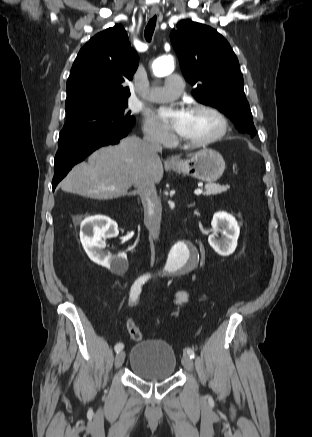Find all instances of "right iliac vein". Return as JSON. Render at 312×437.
<instances>
[{
    "label": "right iliac vein",
    "mask_w": 312,
    "mask_h": 437,
    "mask_svg": "<svg viewBox=\"0 0 312 437\" xmlns=\"http://www.w3.org/2000/svg\"><path fill=\"white\" fill-rule=\"evenodd\" d=\"M124 360H125V352L121 351V352L117 353V355L115 357V367L116 368L121 367Z\"/></svg>",
    "instance_id": "63e3f726"
}]
</instances>
